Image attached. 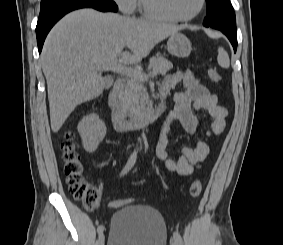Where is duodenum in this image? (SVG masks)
<instances>
[{
  "instance_id": "obj_1",
  "label": "duodenum",
  "mask_w": 283,
  "mask_h": 245,
  "mask_svg": "<svg viewBox=\"0 0 283 245\" xmlns=\"http://www.w3.org/2000/svg\"><path fill=\"white\" fill-rule=\"evenodd\" d=\"M123 82L118 80L109 95V107L111 110V121L116 130L125 131L141 128L154 122L165 108V97L160 96L158 104L142 114L126 117L121 109V94Z\"/></svg>"
}]
</instances>
